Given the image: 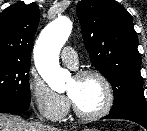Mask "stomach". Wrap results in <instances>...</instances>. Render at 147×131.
<instances>
[{
  "label": "stomach",
  "mask_w": 147,
  "mask_h": 131,
  "mask_svg": "<svg viewBox=\"0 0 147 131\" xmlns=\"http://www.w3.org/2000/svg\"><path fill=\"white\" fill-rule=\"evenodd\" d=\"M83 131H98L95 128H84Z\"/></svg>",
  "instance_id": "0dacf381"
}]
</instances>
